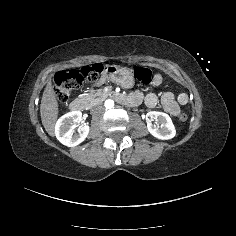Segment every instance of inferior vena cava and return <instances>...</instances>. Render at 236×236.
I'll return each mask as SVG.
<instances>
[{
  "instance_id": "602c4592",
  "label": "inferior vena cava",
  "mask_w": 236,
  "mask_h": 236,
  "mask_svg": "<svg viewBox=\"0 0 236 236\" xmlns=\"http://www.w3.org/2000/svg\"><path fill=\"white\" fill-rule=\"evenodd\" d=\"M93 113H102L104 111V107L102 104L95 105L92 110Z\"/></svg>"
}]
</instances>
